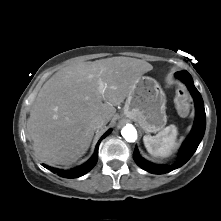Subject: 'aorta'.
Instances as JSON below:
<instances>
[{
  "label": "aorta",
  "mask_w": 221,
  "mask_h": 221,
  "mask_svg": "<svg viewBox=\"0 0 221 221\" xmlns=\"http://www.w3.org/2000/svg\"><path fill=\"white\" fill-rule=\"evenodd\" d=\"M121 135L128 142H135L137 139V131L131 124H126L121 130Z\"/></svg>",
  "instance_id": "762f6f07"
}]
</instances>
